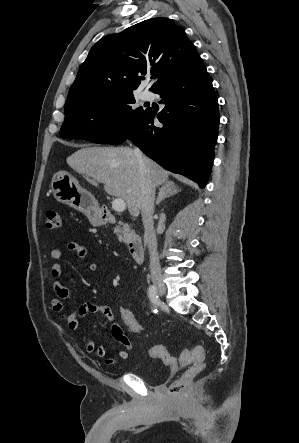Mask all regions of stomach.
<instances>
[{
	"label": "stomach",
	"mask_w": 299,
	"mask_h": 443,
	"mask_svg": "<svg viewBox=\"0 0 299 443\" xmlns=\"http://www.w3.org/2000/svg\"><path fill=\"white\" fill-rule=\"evenodd\" d=\"M51 188L58 202L83 212L92 225L99 226L105 223L95 198L81 188L78 181L68 172H56L51 180Z\"/></svg>",
	"instance_id": "1"
}]
</instances>
